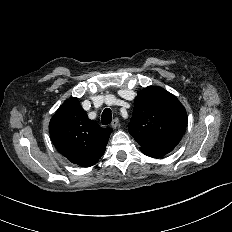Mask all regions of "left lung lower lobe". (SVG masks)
Instances as JSON below:
<instances>
[{
  "instance_id": "left-lung-lower-lobe-1",
  "label": "left lung lower lobe",
  "mask_w": 232,
  "mask_h": 232,
  "mask_svg": "<svg viewBox=\"0 0 232 232\" xmlns=\"http://www.w3.org/2000/svg\"><path fill=\"white\" fill-rule=\"evenodd\" d=\"M174 149V147H161L155 149L140 148V150L147 156L160 158L168 154Z\"/></svg>"
}]
</instances>
